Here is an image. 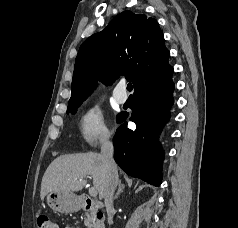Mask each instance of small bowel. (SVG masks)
Wrapping results in <instances>:
<instances>
[{
    "instance_id": "obj_1",
    "label": "small bowel",
    "mask_w": 238,
    "mask_h": 228,
    "mask_svg": "<svg viewBox=\"0 0 238 228\" xmlns=\"http://www.w3.org/2000/svg\"><path fill=\"white\" fill-rule=\"evenodd\" d=\"M56 228H58V227H56ZM65 228H71V227H65Z\"/></svg>"
}]
</instances>
